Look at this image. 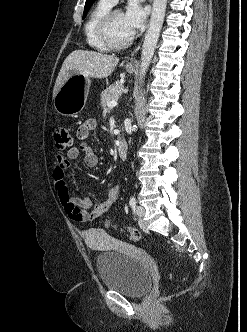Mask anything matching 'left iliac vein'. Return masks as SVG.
<instances>
[{"instance_id":"1","label":"left iliac vein","mask_w":247,"mask_h":332,"mask_svg":"<svg viewBox=\"0 0 247 332\" xmlns=\"http://www.w3.org/2000/svg\"><path fill=\"white\" fill-rule=\"evenodd\" d=\"M135 213L139 219H141L145 215V209L142 206H137L135 209Z\"/></svg>"}]
</instances>
